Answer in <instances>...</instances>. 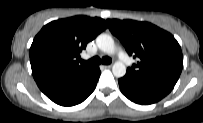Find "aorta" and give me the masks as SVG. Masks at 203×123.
<instances>
[{"instance_id":"obj_1","label":"aorta","mask_w":203,"mask_h":123,"mask_svg":"<svg viewBox=\"0 0 203 123\" xmlns=\"http://www.w3.org/2000/svg\"><path fill=\"white\" fill-rule=\"evenodd\" d=\"M98 48L108 55H113L116 51L113 38L108 34H100L96 38ZM112 72L115 77H123L126 74V66L123 62L117 61L112 67Z\"/></svg>"}]
</instances>
